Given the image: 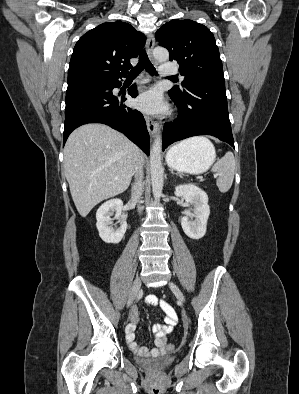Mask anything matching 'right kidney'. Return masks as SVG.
<instances>
[{
	"label": "right kidney",
	"instance_id": "ca27d5eb",
	"mask_svg": "<svg viewBox=\"0 0 299 394\" xmlns=\"http://www.w3.org/2000/svg\"><path fill=\"white\" fill-rule=\"evenodd\" d=\"M123 202L121 199H111L103 203L96 212V227L100 238L105 243L118 244L127 229V222L120 221V226L116 229L112 227L111 216L115 213V218L120 219Z\"/></svg>",
	"mask_w": 299,
	"mask_h": 394
}]
</instances>
